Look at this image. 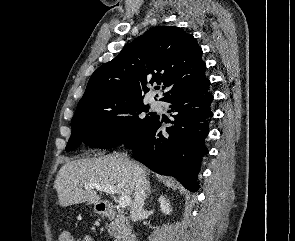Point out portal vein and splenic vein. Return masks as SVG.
I'll use <instances>...</instances> for the list:
<instances>
[{
  "mask_svg": "<svg viewBox=\"0 0 295 241\" xmlns=\"http://www.w3.org/2000/svg\"><path fill=\"white\" fill-rule=\"evenodd\" d=\"M85 189H97V190H100V191H103L105 193H108V194H115L118 192L117 188L115 186H109V185H100V184H86L84 186ZM131 202V197L130 196H127V195H124V196H121L120 197V200H119V206L121 208H125L127 206H129Z\"/></svg>",
  "mask_w": 295,
  "mask_h": 241,
  "instance_id": "obj_1",
  "label": "portal vein and splenic vein"
}]
</instances>
